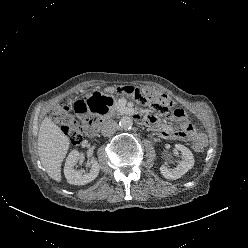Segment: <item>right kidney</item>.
<instances>
[{
    "instance_id": "ca27d5eb",
    "label": "right kidney",
    "mask_w": 248,
    "mask_h": 248,
    "mask_svg": "<svg viewBox=\"0 0 248 248\" xmlns=\"http://www.w3.org/2000/svg\"><path fill=\"white\" fill-rule=\"evenodd\" d=\"M78 159L79 152L77 150H73L69 153L64 166V175L69 184L85 185L93 181L98 176L100 166L97 160H92L89 173L82 174L81 171L74 169Z\"/></svg>"
}]
</instances>
